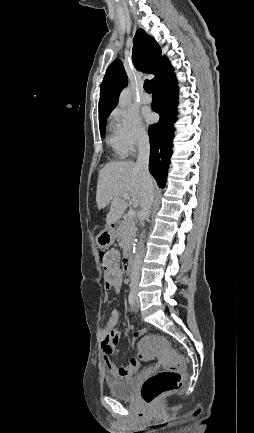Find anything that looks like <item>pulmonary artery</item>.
I'll list each match as a JSON object with an SVG mask.
<instances>
[{"label":"pulmonary artery","instance_id":"pulmonary-artery-1","mask_svg":"<svg viewBox=\"0 0 254 433\" xmlns=\"http://www.w3.org/2000/svg\"><path fill=\"white\" fill-rule=\"evenodd\" d=\"M141 102H142L143 104H149V103L151 102V97H150L147 93H144V94L141 96Z\"/></svg>","mask_w":254,"mask_h":433}]
</instances>
